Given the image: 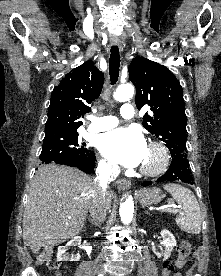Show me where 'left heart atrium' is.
<instances>
[{
  "mask_svg": "<svg viewBox=\"0 0 221 276\" xmlns=\"http://www.w3.org/2000/svg\"><path fill=\"white\" fill-rule=\"evenodd\" d=\"M99 148L107 159L126 167L142 164L147 153L145 139L135 128H119L104 134Z\"/></svg>",
  "mask_w": 221,
  "mask_h": 276,
  "instance_id": "left-heart-atrium-1",
  "label": "left heart atrium"
}]
</instances>
